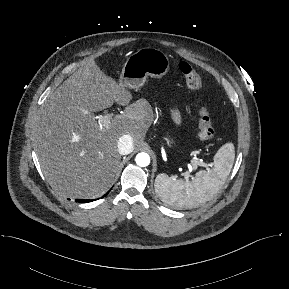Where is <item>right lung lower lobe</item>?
Returning a JSON list of instances; mask_svg holds the SVG:
<instances>
[{"mask_svg": "<svg viewBox=\"0 0 289 289\" xmlns=\"http://www.w3.org/2000/svg\"><path fill=\"white\" fill-rule=\"evenodd\" d=\"M77 202H90L91 200H82V199H79V200H76Z\"/></svg>", "mask_w": 289, "mask_h": 289, "instance_id": "obj_1", "label": "right lung lower lobe"}]
</instances>
